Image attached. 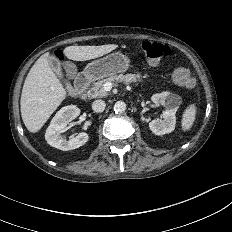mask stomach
<instances>
[{
  "label": "stomach",
  "mask_w": 232,
  "mask_h": 232,
  "mask_svg": "<svg viewBox=\"0 0 232 232\" xmlns=\"http://www.w3.org/2000/svg\"><path fill=\"white\" fill-rule=\"evenodd\" d=\"M130 64L127 56L121 52H113L105 57L90 62L84 74L90 80L101 79L110 75L125 72Z\"/></svg>",
  "instance_id": "0dacf381"
}]
</instances>
